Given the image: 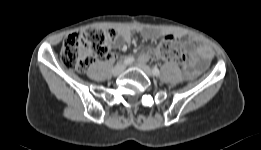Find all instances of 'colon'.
Segmentation results:
<instances>
[{
    "mask_svg": "<svg viewBox=\"0 0 261 150\" xmlns=\"http://www.w3.org/2000/svg\"><path fill=\"white\" fill-rule=\"evenodd\" d=\"M115 37L113 29L88 27L72 33L63 42L60 60L70 70L85 72L97 58H104L110 51L109 44ZM152 55L161 60L185 63L180 42L172 37L162 39L152 50Z\"/></svg>",
    "mask_w": 261,
    "mask_h": 150,
    "instance_id": "5ec220e1",
    "label": "colon"
}]
</instances>
